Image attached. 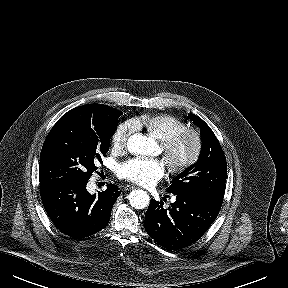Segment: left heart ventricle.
<instances>
[{"label": "left heart ventricle", "mask_w": 288, "mask_h": 288, "mask_svg": "<svg viewBox=\"0 0 288 288\" xmlns=\"http://www.w3.org/2000/svg\"><path fill=\"white\" fill-rule=\"evenodd\" d=\"M191 147H192L191 140H189V139L183 140L177 148V152H178L179 156L184 157V156L188 155L190 150H191Z\"/></svg>", "instance_id": "b2bd125f"}]
</instances>
